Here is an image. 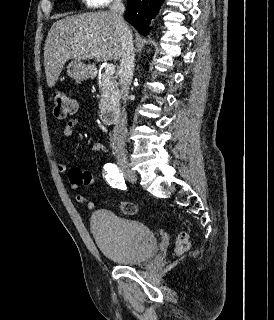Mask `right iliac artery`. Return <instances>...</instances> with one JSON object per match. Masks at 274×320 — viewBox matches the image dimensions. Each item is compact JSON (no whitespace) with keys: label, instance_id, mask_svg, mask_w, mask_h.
I'll return each mask as SVG.
<instances>
[{"label":"right iliac artery","instance_id":"1","mask_svg":"<svg viewBox=\"0 0 274 320\" xmlns=\"http://www.w3.org/2000/svg\"><path fill=\"white\" fill-rule=\"evenodd\" d=\"M104 169L108 173V175L106 176L108 182L113 188H119L122 190L126 189V184L124 182L123 175L115 164H105Z\"/></svg>","mask_w":274,"mask_h":320}]
</instances>
